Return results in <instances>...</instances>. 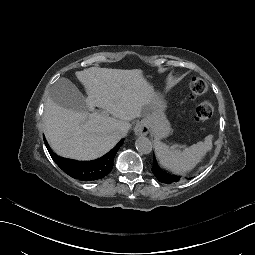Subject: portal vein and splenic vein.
<instances>
[{"instance_id":"portal-vein-and-splenic-vein-1","label":"portal vein and splenic vein","mask_w":255,"mask_h":255,"mask_svg":"<svg viewBox=\"0 0 255 255\" xmlns=\"http://www.w3.org/2000/svg\"><path fill=\"white\" fill-rule=\"evenodd\" d=\"M105 114H107L106 112H104ZM94 114H97V113H94ZM102 114V113H101ZM108 115V114H107ZM83 123H85V121H83Z\"/></svg>"}]
</instances>
